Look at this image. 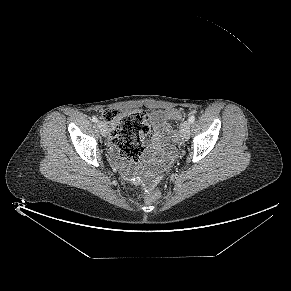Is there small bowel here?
Instances as JSON below:
<instances>
[{
    "mask_svg": "<svg viewBox=\"0 0 291 291\" xmlns=\"http://www.w3.org/2000/svg\"><path fill=\"white\" fill-rule=\"evenodd\" d=\"M152 131L149 139L150 151L147 153V162L162 167L172 156V148L168 140L173 138V131L169 124L168 114L164 111H154L150 115ZM150 130L141 135L145 140Z\"/></svg>",
    "mask_w": 291,
    "mask_h": 291,
    "instance_id": "obj_1",
    "label": "small bowel"
}]
</instances>
